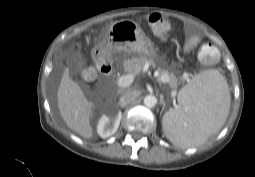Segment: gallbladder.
Here are the masks:
<instances>
[{"label":"gallbladder","mask_w":255,"mask_h":177,"mask_svg":"<svg viewBox=\"0 0 255 177\" xmlns=\"http://www.w3.org/2000/svg\"><path fill=\"white\" fill-rule=\"evenodd\" d=\"M82 54L76 53L72 59L73 70L74 71H81L83 69V61H82Z\"/></svg>","instance_id":"1"}]
</instances>
